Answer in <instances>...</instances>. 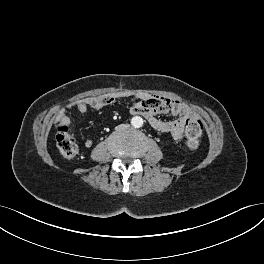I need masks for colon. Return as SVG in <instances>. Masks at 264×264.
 <instances>
[{
	"mask_svg": "<svg viewBox=\"0 0 264 264\" xmlns=\"http://www.w3.org/2000/svg\"><path fill=\"white\" fill-rule=\"evenodd\" d=\"M203 125L197 118H191L186 123V143L189 149L195 150L199 146ZM56 144L60 153L66 158H73L78 152L77 143L70 133L67 124H60L56 134Z\"/></svg>",
	"mask_w": 264,
	"mask_h": 264,
	"instance_id": "5ec220e1",
	"label": "colon"
}]
</instances>
